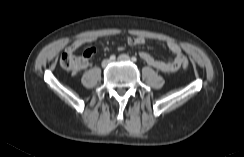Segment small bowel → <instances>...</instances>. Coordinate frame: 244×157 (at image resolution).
<instances>
[{"instance_id": "1", "label": "small bowel", "mask_w": 244, "mask_h": 157, "mask_svg": "<svg viewBox=\"0 0 244 157\" xmlns=\"http://www.w3.org/2000/svg\"><path fill=\"white\" fill-rule=\"evenodd\" d=\"M96 40L95 37H84V38H79L76 39L72 44L69 46L70 49H76L79 46L86 44V43H91ZM127 42L129 45L136 46V45H143L146 43V40L144 37L140 36H129L127 37ZM166 46L170 50V52L173 54V58L168 60V61H162V60H157L153 56H151L147 52H140V58L149 66L155 68L156 70L162 72V73H174L176 72L180 66H181V60H182V51L179 45L172 41L168 40L166 41ZM93 54L95 52V49H93ZM119 50H122V47H119Z\"/></svg>"}]
</instances>
